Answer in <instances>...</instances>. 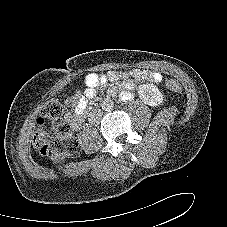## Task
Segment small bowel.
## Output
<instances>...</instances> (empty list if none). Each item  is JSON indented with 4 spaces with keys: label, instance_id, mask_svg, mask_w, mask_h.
<instances>
[{
    "label": "small bowel",
    "instance_id": "c3829d8e",
    "mask_svg": "<svg viewBox=\"0 0 227 227\" xmlns=\"http://www.w3.org/2000/svg\"><path fill=\"white\" fill-rule=\"evenodd\" d=\"M127 77H131L132 80L123 82L119 88L121 96L124 99L131 97V91L136 87L139 81L147 80L153 83H158L162 79V75L159 72L141 69H133L130 71H110L101 74L96 72L87 73L84 79L85 89L75 103L73 114L67 117L71 126L74 129L80 127L79 118L86 109L88 101L96 96V89L98 87H105L112 82ZM117 92V88L113 87L109 89L111 95H115Z\"/></svg>",
    "mask_w": 227,
    "mask_h": 227
}]
</instances>
